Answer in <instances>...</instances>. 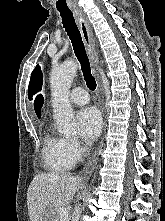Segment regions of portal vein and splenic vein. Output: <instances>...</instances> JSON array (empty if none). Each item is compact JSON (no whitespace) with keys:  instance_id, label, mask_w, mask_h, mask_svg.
Returning a JSON list of instances; mask_svg holds the SVG:
<instances>
[{"instance_id":"1","label":"portal vein and splenic vein","mask_w":165,"mask_h":221,"mask_svg":"<svg viewBox=\"0 0 165 221\" xmlns=\"http://www.w3.org/2000/svg\"><path fill=\"white\" fill-rule=\"evenodd\" d=\"M58 214L60 215V217L66 218L69 216V211L67 210V208L62 207V208H59Z\"/></svg>"}]
</instances>
